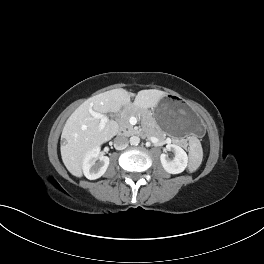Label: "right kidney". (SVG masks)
Here are the masks:
<instances>
[{
  "label": "right kidney",
  "instance_id": "right-kidney-1",
  "mask_svg": "<svg viewBox=\"0 0 264 264\" xmlns=\"http://www.w3.org/2000/svg\"><path fill=\"white\" fill-rule=\"evenodd\" d=\"M109 166V157L99 155V147L91 149L85 155L82 169L85 177L89 180L100 178Z\"/></svg>",
  "mask_w": 264,
  "mask_h": 264
}]
</instances>
